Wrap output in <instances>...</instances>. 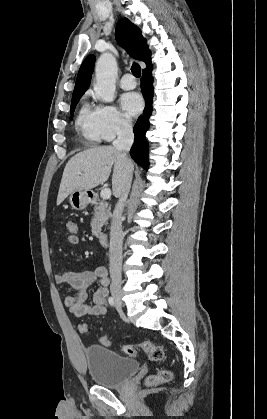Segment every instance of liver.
I'll return each instance as SVG.
<instances>
[{
  "instance_id": "1",
  "label": "liver",
  "mask_w": 267,
  "mask_h": 419,
  "mask_svg": "<svg viewBox=\"0 0 267 419\" xmlns=\"http://www.w3.org/2000/svg\"><path fill=\"white\" fill-rule=\"evenodd\" d=\"M112 167V189L114 196L118 197L120 185L127 171V161L121 152L113 146H99L77 153L64 168L57 205L76 190H90L106 182Z\"/></svg>"
}]
</instances>
